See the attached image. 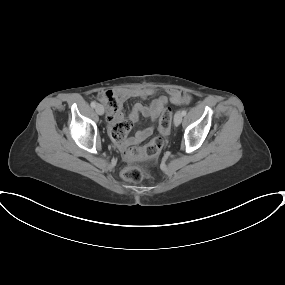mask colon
<instances>
[{"label":"colon","instance_id":"1","mask_svg":"<svg viewBox=\"0 0 285 285\" xmlns=\"http://www.w3.org/2000/svg\"><path fill=\"white\" fill-rule=\"evenodd\" d=\"M100 100L106 105L107 112L117 113L120 111L121 100L111 93H103L100 95ZM172 125V112L169 109L163 111L159 121L160 135L151 139L144 146L129 147L125 151L127 159H150L157 156L164 146L163 135H166ZM130 125L126 122L116 124L110 128V137L114 142L121 145L127 137ZM123 176L126 180L131 182H140L148 179L150 176V167L148 163L140 165L128 166L123 171Z\"/></svg>","mask_w":285,"mask_h":285}]
</instances>
